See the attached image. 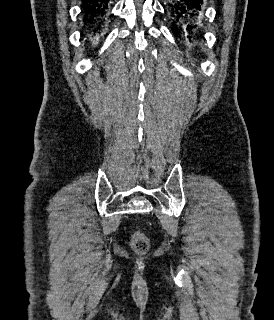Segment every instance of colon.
Instances as JSON below:
<instances>
[{
	"label": "colon",
	"mask_w": 274,
	"mask_h": 320,
	"mask_svg": "<svg viewBox=\"0 0 274 320\" xmlns=\"http://www.w3.org/2000/svg\"><path fill=\"white\" fill-rule=\"evenodd\" d=\"M131 246L136 252L143 254L147 251L149 242L143 234H136L133 238Z\"/></svg>",
	"instance_id": "5ec220e1"
}]
</instances>
